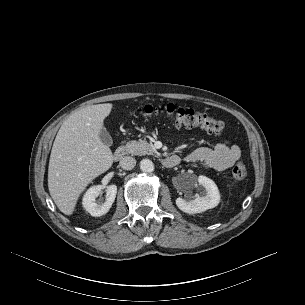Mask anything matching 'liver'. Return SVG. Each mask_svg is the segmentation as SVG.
I'll list each match as a JSON object with an SVG mask.
<instances>
[{"label":"liver","mask_w":305,"mask_h":305,"mask_svg":"<svg viewBox=\"0 0 305 305\" xmlns=\"http://www.w3.org/2000/svg\"><path fill=\"white\" fill-rule=\"evenodd\" d=\"M111 103L83 108L60 127L51 150L48 188L58 209L72 215L86 186L113 164L110 148L100 137Z\"/></svg>","instance_id":"obj_1"}]
</instances>
